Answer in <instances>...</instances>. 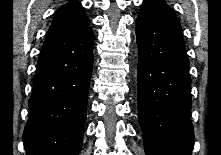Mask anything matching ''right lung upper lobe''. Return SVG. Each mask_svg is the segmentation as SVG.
<instances>
[{"label": "right lung upper lobe", "mask_w": 221, "mask_h": 155, "mask_svg": "<svg viewBox=\"0 0 221 155\" xmlns=\"http://www.w3.org/2000/svg\"><path fill=\"white\" fill-rule=\"evenodd\" d=\"M89 23L84 8L79 1H71L61 6L55 13L49 32H61L79 28Z\"/></svg>", "instance_id": "obj_1"}]
</instances>
